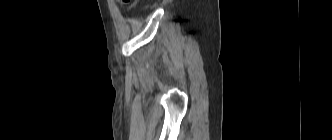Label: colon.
I'll list each match as a JSON object with an SVG mask.
<instances>
[{"mask_svg":"<svg viewBox=\"0 0 332 140\" xmlns=\"http://www.w3.org/2000/svg\"><path fill=\"white\" fill-rule=\"evenodd\" d=\"M121 4H136L139 0H118Z\"/></svg>","mask_w":332,"mask_h":140,"instance_id":"obj_1","label":"colon"}]
</instances>
